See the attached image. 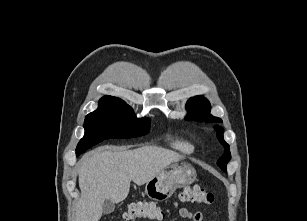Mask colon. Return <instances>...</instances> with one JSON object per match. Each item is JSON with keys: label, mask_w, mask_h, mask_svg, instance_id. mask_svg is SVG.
<instances>
[{"label": "colon", "mask_w": 307, "mask_h": 221, "mask_svg": "<svg viewBox=\"0 0 307 221\" xmlns=\"http://www.w3.org/2000/svg\"><path fill=\"white\" fill-rule=\"evenodd\" d=\"M180 202H190L210 205L214 202V195L200 186H186L179 193ZM164 210L152 201H138L130 203L122 216V221L161 220Z\"/></svg>", "instance_id": "5ec220e1"}]
</instances>
